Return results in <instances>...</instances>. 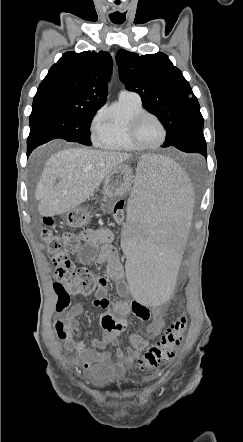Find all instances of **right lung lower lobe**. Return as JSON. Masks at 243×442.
<instances>
[{
    "mask_svg": "<svg viewBox=\"0 0 243 442\" xmlns=\"http://www.w3.org/2000/svg\"><path fill=\"white\" fill-rule=\"evenodd\" d=\"M60 137V134L41 129L30 130V134L27 139V155H29L37 146Z\"/></svg>",
    "mask_w": 243,
    "mask_h": 442,
    "instance_id": "right-lung-lower-lobe-1",
    "label": "right lung lower lobe"
}]
</instances>
